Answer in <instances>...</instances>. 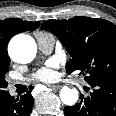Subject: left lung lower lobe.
I'll return each mask as SVG.
<instances>
[{
  "label": "left lung lower lobe",
  "mask_w": 116,
  "mask_h": 116,
  "mask_svg": "<svg viewBox=\"0 0 116 116\" xmlns=\"http://www.w3.org/2000/svg\"><path fill=\"white\" fill-rule=\"evenodd\" d=\"M89 85L93 88L90 95H80L78 104L64 108L65 115L116 116V80H102Z\"/></svg>",
  "instance_id": "0a47b994"
}]
</instances>
